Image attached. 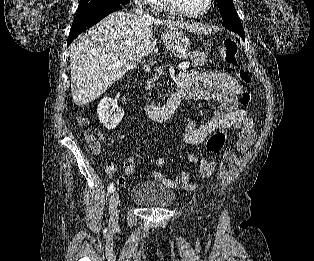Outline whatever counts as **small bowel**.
<instances>
[{"label":"small bowel","instance_id":"c3829d8e","mask_svg":"<svg viewBox=\"0 0 314 261\" xmlns=\"http://www.w3.org/2000/svg\"><path fill=\"white\" fill-rule=\"evenodd\" d=\"M178 78L192 100H203L217 103L215 114L212 118L202 124H197L194 119L187 115H179L177 121L182 128V141L187 145H199L208 136L222 128L236 127L239 130L238 148L241 151L247 150L255 140V132L252 120L247 116L245 110L239 108V96L243 93V88L239 82L230 74L224 72L204 71L181 73ZM135 155H131L122 162L126 177L134 174ZM191 163L198 164L201 177L209 179L212 177L217 162H205L197 153L188 156ZM166 165V159L159 157L155 161L157 168ZM118 165L108 163L106 173L113 177ZM152 177L158 183L168 188H176L179 183L170 179L162 172L155 170ZM117 184L121 188L126 187V179L119 176ZM181 186L185 189H194L190 176L183 171L181 173Z\"/></svg>","mask_w":314,"mask_h":261}]
</instances>
